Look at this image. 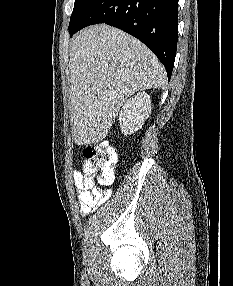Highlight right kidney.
Segmentation results:
<instances>
[{
    "instance_id": "obj_1",
    "label": "right kidney",
    "mask_w": 233,
    "mask_h": 286,
    "mask_svg": "<svg viewBox=\"0 0 233 286\" xmlns=\"http://www.w3.org/2000/svg\"><path fill=\"white\" fill-rule=\"evenodd\" d=\"M151 113V99L145 93H138L126 101L119 114L121 132L131 135L139 130Z\"/></svg>"
}]
</instances>
